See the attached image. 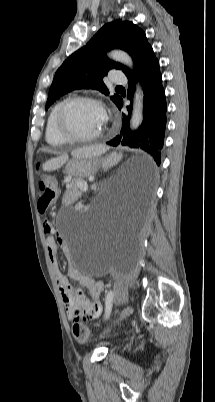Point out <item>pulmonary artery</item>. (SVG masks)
Wrapping results in <instances>:
<instances>
[{
  "mask_svg": "<svg viewBox=\"0 0 215 402\" xmlns=\"http://www.w3.org/2000/svg\"><path fill=\"white\" fill-rule=\"evenodd\" d=\"M110 80L114 84H125L127 79L122 72L115 71L111 74Z\"/></svg>",
  "mask_w": 215,
  "mask_h": 402,
  "instance_id": "e3ab8cb5",
  "label": "pulmonary artery"
}]
</instances>
